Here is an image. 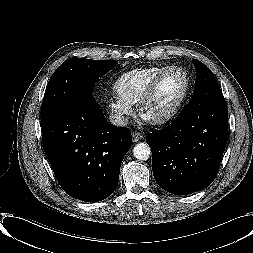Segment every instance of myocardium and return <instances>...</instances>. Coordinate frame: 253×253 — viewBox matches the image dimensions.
<instances>
[{
	"mask_svg": "<svg viewBox=\"0 0 253 253\" xmlns=\"http://www.w3.org/2000/svg\"><path fill=\"white\" fill-rule=\"evenodd\" d=\"M173 71H178V72L182 73V75L184 77L185 87H184L182 95L180 96V98L178 99V101L176 102V104L174 105V107L170 111H168L164 114H161L159 116H155V117L148 116L145 111H146L149 103L153 99L159 84L161 83V81L164 79V77L167 74H169L170 72H173ZM189 92H190V78H189V75L186 72V70L180 66H171L168 69L161 72L160 74H158L151 81V83L149 84V86L147 87V89L145 90V92L143 93L141 98L139 99L138 110H137L138 116L144 122H147L152 125L165 124V123L173 120L180 113V111L182 110V108L188 98Z\"/></svg>",
	"mask_w": 253,
	"mask_h": 253,
	"instance_id": "myocardium-1",
	"label": "myocardium"
}]
</instances>
